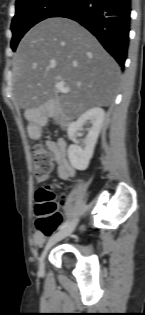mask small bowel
<instances>
[{
    "label": "small bowel",
    "instance_id": "c3829d8e",
    "mask_svg": "<svg viewBox=\"0 0 145 315\" xmlns=\"http://www.w3.org/2000/svg\"><path fill=\"white\" fill-rule=\"evenodd\" d=\"M42 119L37 118L29 123L28 125V132L31 136H33L36 139L42 138ZM45 145L49 152L52 154L53 159L56 163V171L57 176L61 180H68L71 178L74 174V168L70 164L68 157H67V143L64 139H59L57 141H51V140H45ZM48 176H36L35 181L37 183H41L44 180H46ZM61 203L64 204V199L61 200ZM45 234L44 233H38L37 229L35 230L32 241L34 245L40 246L44 240H45Z\"/></svg>",
    "mask_w": 145,
    "mask_h": 315
}]
</instances>
